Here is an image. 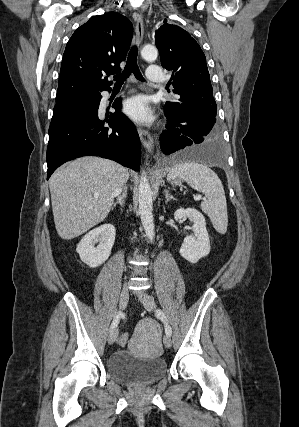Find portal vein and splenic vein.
<instances>
[{"instance_id": "portal-vein-and-splenic-vein-1", "label": "portal vein and splenic vein", "mask_w": 299, "mask_h": 427, "mask_svg": "<svg viewBox=\"0 0 299 427\" xmlns=\"http://www.w3.org/2000/svg\"><path fill=\"white\" fill-rule=\"evenodd\" d=\"M194 199L198 201V200L201 199V196L200 195H196V196H194Z\"/></svg>"}]
</instances>
